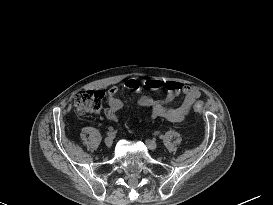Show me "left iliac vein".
I'll return each mask as SVG.
<instances>
[{
    "label": "left iliac vein",
    "instance_id": "left-iliac-vein-1",
    "mask_svg": "<svg viewBox=\"0 0 273 205\" xmlns=\"http://www.w3.org/2000/svg\"><path fill=\"white\" fill-rule=\"evenodd\" d=\"M145 143H146V146L150 149V150H156L157 149V144H156V142L155 141H153V140H150V139H147L146 141H145Z\"/></svg>",
    "mask_w": 273,
    "mask_h": 205
}]
</instances>
